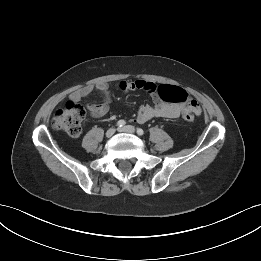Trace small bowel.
<instances>
[{
    "instance_id": "small-bowel-1",
    "label": "small bowel",
    "mask_w": 261,
    "mask_h": 261,
    "mask_svg": "<svg viewBox=\"0 0 261 261\" xmlns=\"http://www.w3.org/2000/svg\"><path fill=\"white\" fill-rule=\"evenodd\" d=\"M119 87L123 92L144 90L153 97V104H143L139 107L135 119L139 124L146 123L156 117L175 119L183 116L189 111L197 115L201 112L199 105L193 99H189V102L184 105L163 102L158 95L157 85L150 81L142 79L122 81L120 82ZM93 91L101 93L104 96V102L101 104H88L87 108L93 117H102L109 111V105L111 103V94L107 82H100L79 88L70 94L69 100L70 102L78 103Z\"/></svg>"
}]
</instances>
